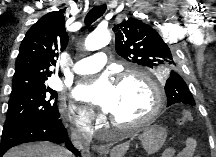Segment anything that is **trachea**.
<instances>
[{
	"instance_id": "trachea-1",
	"label": "trachea",
	"mask_w": 216,
	"mask_h": 157,
	"mask_svg": "<svg viewBox=\"0 0 216 157\" xmlns=\"http://www.w3.org/2000/svg\"><path fill=\"white\" fill-rule=\"evenodd\" d=\"M106 4L100 6H94L85 17V24L90 25L100 18L106 11Z\"/></svg>"
}]
</instances>
